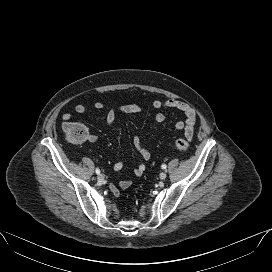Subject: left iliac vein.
Masks as SVG:
<instances>
[{
    "label": "left iliac vein",
    "instance_id": "1",
    "mask_svg": "<svg viewBox=\"0 0 272 272\" xmlns=\"http://www.w3.org/2000/svg\"><path fill=\"white\" fill-rule=\"evenodd\" d=\"M166 177H167V174L165 172H161L160 175H159V178L161 180H164Z\"/></svg>",
    "mask_w": 272,
    "mask_h": 272
}]
</instances>
